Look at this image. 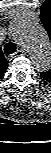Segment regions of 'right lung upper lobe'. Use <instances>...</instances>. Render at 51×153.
I'll return each mask as SVG.
<instances>
[{
    "mask_svg": "<svg viewBox=\"0 0 51 153\" xmlns=\"http://www.w3.org/2000/svg\"><path fill=\"white\" fill-rule=\"evenodd\" d=\"M7 66L8 61L5 59L4 54L0 48V78L4 75Z\"/></svg>",
    "mask_w": 51,
    "mask_h": 153,
    "instance_id": "1",
    "label": "right lung upper lobe"
}]
</instances>
